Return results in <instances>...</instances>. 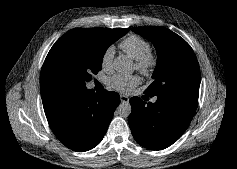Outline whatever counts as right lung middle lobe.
<instances>
[{"mask_svg": "<svg viewBox=\"0 0 237 169\" xmlns=\"http://www.w3.org/2000/svg\"><path fill=\"white\" fill-rule=\"evenodd\" d=\"M125 33L109 38L79 32L65 33L49 51L40 74V85L84 87L102 68L107 48Z\"/></svg>", "mask_w": 237, "mask_h": 169, "instance_id": "1", "label": "right lung middle lobe"}]
</instances>
